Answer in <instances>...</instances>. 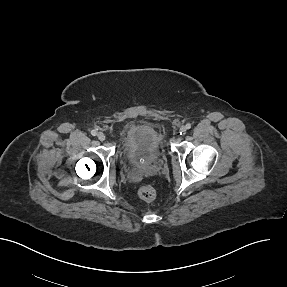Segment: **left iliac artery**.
Returning <instances> with one entry per match:
<instances>
[{
  "instance_id": "left-iliac-artery-1",
  "label": "left iliac artery",
  "mask_w": 287,
  "mask_h": 287,
  "mask_svg": "<svg viewBox=\"0 0 287 287\" xmlns=\"http://www.w3.org/2000/svg\"><path fill=\"white\" fill-rule=\"evenodd\" d=\"M191 128V124H186V129L188 130V129H190Z\"/></svg>"
}]
</instances>
